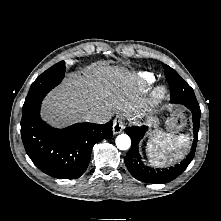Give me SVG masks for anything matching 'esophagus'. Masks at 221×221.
Wrapping results in <instances>:
<instances>
[{"mask_svg": "<svg viewBox=\"0 0 221 221\" xmlns=\"http://www.w3.org/2000/svg\"><path fill=\"white\" fill-rule=\"evenodd\" d=\"M124 128L121 117L117 116L113 121V134H119Z\"/></svg>", "mask_w": 221, "mask_h": 221, "instance_id": "1", "label": "esophagus"}]
</instances>
